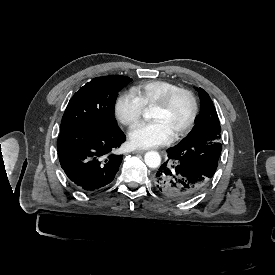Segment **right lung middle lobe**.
<instances>
[{
  "label": "right lung middle lobe",
  "mask_w": 275,
  "mask_h": 275,
  "mask_svg": "<svg viewBox=\"0 0 275 275\" xmlns=\"http://www.w3.org/2000/svg\"><path fill=\"white\" fill-rule=\"evenodd\" d=\"M131 80L126 76H105L86 83L70 99L61 127L81 125L100 133L118 130L114 118L117 93Z\"/></svg>",
  "instance_id": "1"
}]
</instances>
